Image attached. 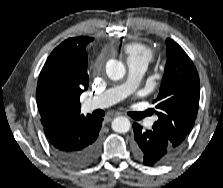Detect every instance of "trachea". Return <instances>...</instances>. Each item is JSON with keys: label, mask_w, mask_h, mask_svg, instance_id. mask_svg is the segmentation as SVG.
<instances>
[{"label": "trachea", "mask_w": 223, "mask_h": 188, "mask_svg": "<svg viewBox=\"0 0 223 188\" xmlns=\"http://www.w3.org/2000/svg\"><path fill=\"white\" fill-rule=\"evenodd\" d=\"M137 114H138L139 118H143V117H145L146 115H148V112L146 111V112H143V113H137Z\"/></svg>", "instance_id": "obj_1"}]
</instances>
